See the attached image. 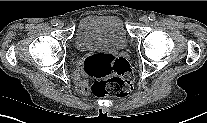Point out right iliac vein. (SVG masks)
<instances>
[{
  "label": "right iliac vein",
  "mask_w": 207,
  "mask_h": 123,
  "mask_svg": "<svg viewBox=\"0 0 207 123\" xmlns=\"http://www.w3.org/2000/svg\"><path fill=\"white\" fill-rule=\"evenodd\" d=\"M64 27V23L62 22V21H60L59 23H58V28H63Z\"/></svg>",
  "instance_id": "obj_1"
}]
</instances>
